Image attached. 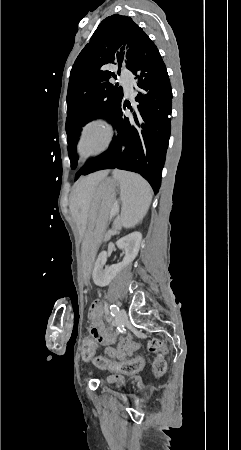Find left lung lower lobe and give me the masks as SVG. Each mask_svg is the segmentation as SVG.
Masks as SVG:
<instances>
[{"label":"left lung lower lobe","mask_w":241,"mask_h":450,"mask_svg":"<svg viewBox=\"0 0 241 450\" xmlns=\"http://www.w3.org/2000/svg\"><path fill=\"white\" fill-rule=\"evenodd\" d=\"M129 70L141 89L135 97L138 112L133 119L126 118L121 103L110 121L116 130L110 147L84 165L76 179L81 174L118 168L139 173L157 193L170 137L172 89L155 45L133 61Z\"/></svg>","instance_id":"obj_1"}]
</instances>
